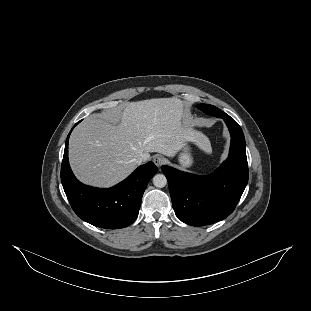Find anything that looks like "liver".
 <instances>
[{
    "label": "liver",
    "mask_w": 311,
    "mask_h": 311,
    "mask_svg": "<svg viewBox=\"0 0 311 311\" xmlns=\"http://www.w3.org/2000/svg\"><path fill=\"white\" fill-rule=\"evenodd\" d=\"M182 120V103L177 98L151 99L129 103L114 117L113 124L86 118L69 142L71 166L88 184L111 186L123 180L137 164L138 155L148 158L157 152L175 157L188 142L199 149L210 144L201 133Z\"/></svg>",
    "instance_id": "obj_1"
}]
</instances>
